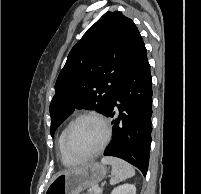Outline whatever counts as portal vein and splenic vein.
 Here are the masks:
<instances>
[{
  "label": "portal vein and splenic vein",
  "instance_id": "portal-vein-and-splenic-vein-1",
  "mask_svg": "<svg viewBox=\"0 0 201 194\" xmlns=\"http://www.w3.org/2000/svg\"><path fill=\"white\" fill-rule=\"evenodd\" d=\"M101 191V189L99 188V187H96L95 189H94V192L97 194V193H99Z\"/></svg>",
  "mask_w": 201,
  "mask_h": 194
}]
</instances>
